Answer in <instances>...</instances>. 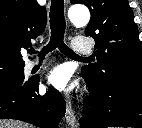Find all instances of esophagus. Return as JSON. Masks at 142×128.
Returning a JSON list of instances; mask_svg holds the SVG:
<instances>
[{
	"mask_svg": "<svg viewBox=\"0 0 142 128\" xmlns=\"http://www.w3.org/2000/svg\"><path fill=\"white\" fill-rule=\"evenodd\" d=\"M65 120L71 127H74L76 125V116H75V112L73 111L72 103L69 97H67L66 99Z\"/></svg>",
	"mask_w": 142,
	"mask_h": 128,
	"instance_id": "esophagus-1",
	"label": "esophagus"
}]
</instances>
